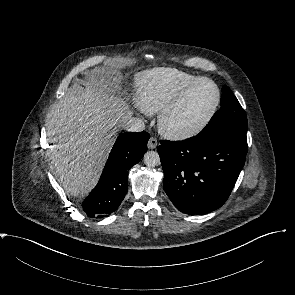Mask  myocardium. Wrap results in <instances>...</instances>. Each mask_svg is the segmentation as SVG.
<instances>
[{
	"mask_svg": "<svg viewBox=\"0 0 295 295\" xmlns=\"http://www.w3.org/2000/svg\"><path fill=\"white\" fill-rule=\"evenodd\" d=\"M201 81L210 82L216 90V100L214 105L206 116V118L193 128L187 130H178L171 125V117L175 111L180 107L189 92ZM221 103V90L217 83L205 76L197 77L190 83H188L173 99L172 101L160 112L159 115V129L161 133L167 138L174 141H185L192 139L202 133L214 120Z\"/></svg>",
	"mask_w": 295,
	"mask_h": 295,
	"instance_id": "myocardium-1",
	"label": "myocardium"
}]
</instances>
